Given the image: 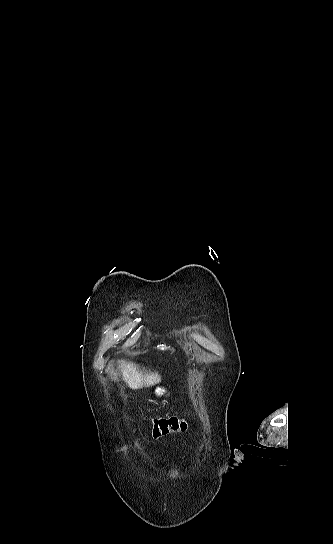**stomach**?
Wrapping results in <instances>:
<instances>
[{
    "mask_svg": "<svg viewBox=\"0 0 333 544\" xmlns=\"http://www.w3.org/2000/svg\"><path fill=\"white\" fill-rule=\"evenodd\" d=\"M167 389L164 388V387H156L155 390H154V395L157 397V398H161L163 396H165L167 394Z\"/></svg>",
    "mask_w": 333,
    "mask_h": 544,
    "instance_id": "1",
    "label": "stomach"
}]
</instances>
